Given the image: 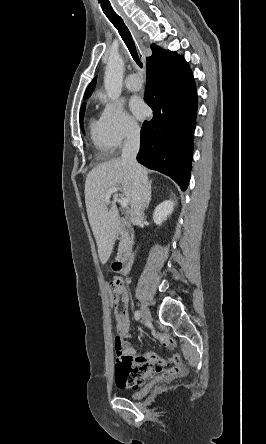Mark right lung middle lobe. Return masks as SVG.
I'll list each match as a JSON object with an SVG mask.
<instances>
[{
    "label": "right lung middle lobe",
    "instance_id": "obj_1",
    "mask_svg": "<svg viewBox=\"0 0 266 444\" xmlns=\"http://www.w3.org/2000/svg\"><path fill=\"white\" fill-rule=\"evenodd\" d=\"M85 105H86L85 103L82 104L81 109H80V125H81L83 133H84V130L82 127V125H83L82 121H83V116H84V111H85Z\"/></svg>",
    "mask_w": 266,
    "mask_h": 444
}]
</instances>
